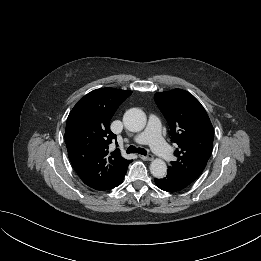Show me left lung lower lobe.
Instances as JSON below:
<instances>
[{
  "mask_svg": "<svg viewBox=\"0 0 261 261\" xmlns=\"http://www.w3.org/2000/svg\"><path fill=\"white\" fill-rule=\"evenodd\" d=\"M156 185L164 191L167 192H176L180 191L186 187H188L190 184L186 183L185 181L181 180L177 176L168 173L166 177L157 179L155 178Z\"/></svg>",
  "mask_w": 261,
  "mask_h": 261,
  "instance_id": "1",
  "label": "left lung lower lobe"
}]
</instances>
